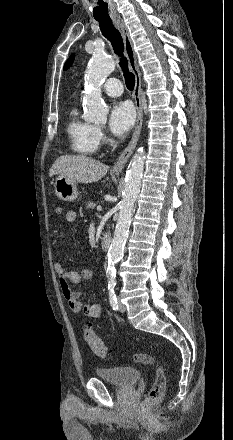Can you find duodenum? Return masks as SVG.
I'll use <instances>...</instances> for the list:
<instances>
[{
    "label": "duodenum",
    "instance_id": "1",
    "mask_svg": "<svg viewBox=\"0 0 233 440\" xmlns=\"http://www.w3.org/2000/svg\"><path fill=\"white\" fill-rule=\"evenodd\" d=\"M111 242H112V235L109 232H105L101 236V240H100L101 248L103 250H107L110 247Z\"/></svg>",
    "mask_w": 233,
    "mask_h": 440
}]
</instances>
